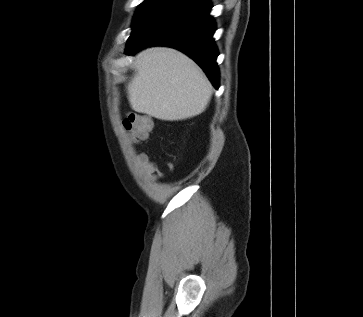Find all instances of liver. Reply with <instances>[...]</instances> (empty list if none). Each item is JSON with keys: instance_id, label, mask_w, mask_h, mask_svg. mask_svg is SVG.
<instances>
[{"instance_id": "1", "label": "liver", "mask_w": 363, "mask_h": 317, "mask_svg": "<svg viewBox=\"0 0 363 317\" xmlns=\"http://www.w3.org/2000/svg\"><path fill=\"white\" fill-rule=\"evenodd\" d=\"M135 75L127 86L131 108L165 121L205 111L212 86L198 65L183 53L152 47L136 55Z\"/></svg>"}]
</instances>
